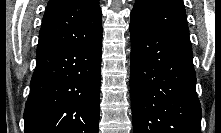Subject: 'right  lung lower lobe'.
Listing matches in <instances>:
<instances>
[{"label": "right lung lower lobe", "instance_id": "98d812e1", "mask_svg": "<svg viewBox=\"0 0 221 133\" xmlns=\"http://www.w3.org/2000/svg\"><path fill=\"white\" fill-rule=\"evenodd\" d=\"M102 30L83 44L36 53L25 133H98Z\"/></svg>", "mask_w": 221, "mask_h": 133}]
</instances>
